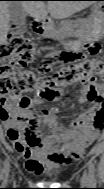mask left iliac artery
I'll return each mask as SVG.
<instances>
[{
  "label": "left iliac artery",
  "mask_w": 104,
  "mask_h": 189,
  "mask_svg": "<svg viewBox=\"0 0 104 189\" xmlns=\"http://www.w3.org/2000/svg\"><path fill=\"white\" fill-rule=\"evenodd\" d=\"M88 170H89V177H90V180L92 181V186H95L96 185V178H95V166H94V163L92 161L89 162V167H88Z\"/></svg>",
  "instance_id": "obj_1"
}]
</instances>
